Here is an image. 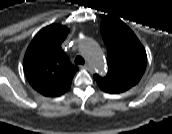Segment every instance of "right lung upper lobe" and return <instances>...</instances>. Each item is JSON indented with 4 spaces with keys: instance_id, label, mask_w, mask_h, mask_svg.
Segmentation results:
<instances>
[{
    "instance_id": "cb5924a9",
    "label": "right lung upper lobe",
    "mask_w": 172,
    "mask_h": 134,
    "mask_svg": "<svg viewBox=\"0 0 172 134\" xmlns=\"http://www.w3.org/2000/svg\"><path fill=\"white\" fill-rule=\"evenodd\" d=\"M69 29L51 24L40 30L28 46L23 66L30 85L44 96L57 97L70 89L79 68L61 48Z\"/></svg>"
}]
</instances>
